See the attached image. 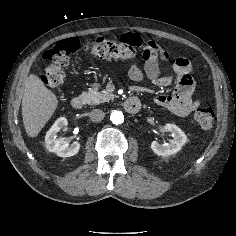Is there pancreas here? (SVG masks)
I'll list each match as a JSON object with an SVG mask.
<instances>
[{
	"instance_id": "cf45deb5",
	"label": "pancreas",
	"mask_w": 236,
	"mask_h": 236,
	"mask_svg": "<svg viewBox=\"0 0 236 236\" xmlns=\"http://www.w3.org/2000/svg\"><path fill=\"white\" fill-rule=\"evenodd\" d=\"M82 101L89 105H97L102 102L113 100L114 95L107 92L106 90L98 91L97 87L89 89L88 92H83L80 95Z\"/></svg>"
}]
</instances>
